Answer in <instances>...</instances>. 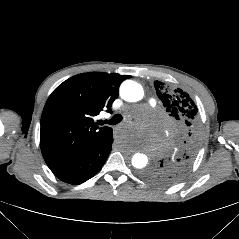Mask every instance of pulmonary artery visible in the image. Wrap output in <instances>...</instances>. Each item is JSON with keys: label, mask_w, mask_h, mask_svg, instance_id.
<instances>
[{"label": "pulmonary artery", "mask_w": 239, "mask_h": 239, "mask_svg": "<svg viewBox=\"0 0 239 239\" xmlns=\"http://www.w3.org/2000/svg\"><path fill=\"white\" fill-rule=\"evenodd\" d=\"M150 106L154 107L156 105V101L154 99L149 100Z\"/></svg>", "instance_id": "obj_1"}]
</instances>
